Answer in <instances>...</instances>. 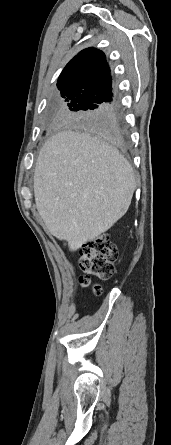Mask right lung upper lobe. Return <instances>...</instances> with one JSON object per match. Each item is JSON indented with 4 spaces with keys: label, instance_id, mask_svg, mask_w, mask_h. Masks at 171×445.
<instances>
[{
    "label": "right lung upper lobe",
    "instance_id": "1",
    "mask_svg": "<svg viewBox=\"0 0 171 445\" xmlns=\"http://www.w3.org/2000/svg\"><path fill=\"white\" fill-rule=\"evenodd\" d=\"M57 87L61 92L85 93L114 101L110 68L105 54L94 48L79 52L63 69Z\"/></svg>",
    "mask_w": 171,
    "mask_h": 445
}]
</instances>
